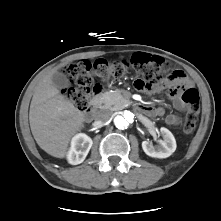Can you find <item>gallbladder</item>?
<instances>
[{"mask_svg":"<svg viewBox=\"0 0 221 221\" xmlns=\"http://www.w3.org/2000/svg\"><path fill=\"white\" fill-rule=\"evenodd\" d=\"M53 85L59 89L67 88L69 86V80L61 72H55L52 76Z\"/></svg>","mask_w":221,"mask_h":221,"instance_id":"obj_1","label":"gallbladder"}]
</instances>
